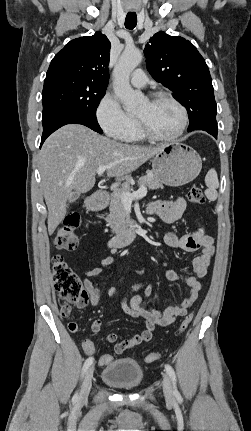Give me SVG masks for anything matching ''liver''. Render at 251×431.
Instances as JSON below:
<instances>
[{
    "mask_svg": "<svg viewBox=\"0 0 251 431\" xmlns=\"http://www.w3.org/2000/svg\"><path fill=\"white\" fill-rule=\"evenodd\" d=\"M164 147L120 143L79 124L65 125L50 135L39 152L49 234H53L64 219L71 195L93 188L100 166H110L107 176L120 181Z\"/></svg>",
    "mask_w": 251,
    "mask_h": 431,
    "instance_id": "1",
    "label": "liver"
}]
</instances>
